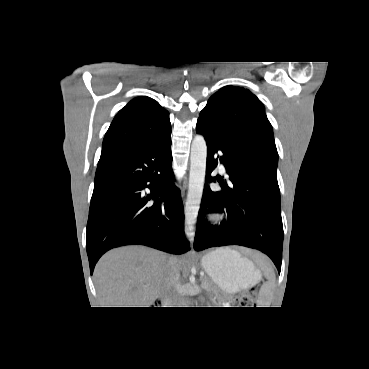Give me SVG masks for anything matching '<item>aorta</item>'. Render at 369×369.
<instances>
[{
    "instance_id": "obj_1",
    "label": "aorta",
    "mask_w": 369,
    "mask_h": 369,
    "mask_svg": "<svg viewBox=\"0 0 369 369\" xmlns=\"http://www.w3.org/2000/svg\"><path fill=\"white\" fill-rule=\"evenodd\" d=\"M207 145L202 135H196L191 145L190 174L187 199L185 203L184 231L192 241L200 208L206 174Z\"/></svg>"
}]
</instances>
